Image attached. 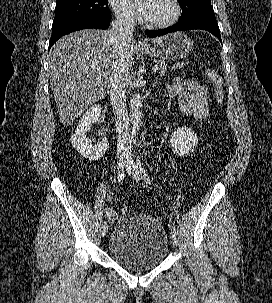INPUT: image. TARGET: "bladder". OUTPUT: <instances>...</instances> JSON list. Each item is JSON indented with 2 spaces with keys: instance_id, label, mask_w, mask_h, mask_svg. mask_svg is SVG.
<instances>
[{
  "instance_id": "31cf9c89",
  "label": "bladder",
  "mask_w": 272,
  "mask_h": 303,
  "mask_svg": "<svg viewBox=\"0 0 272 303\" xmlns=\"http://www.w3.org/2000/svg\"><path fill=\"white\" fill-rule=\"evenodd\" d=\"M169 250L163 225L153 216L128 212L114 225L107 253L112 260L131 271H146L160 265Z\"/></svg>"
}]
</instances>
